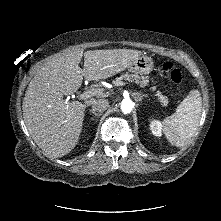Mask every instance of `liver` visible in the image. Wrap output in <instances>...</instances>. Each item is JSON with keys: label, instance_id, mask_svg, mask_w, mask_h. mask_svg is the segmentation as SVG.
Returning a JSON list of instances; mask_svg holds the SVG:
<instances>
[{"label": "liver", "instance_id": "6515ba94", "mask_svg": "<svg viewBox=\"0 0 221 221\" xmlns=\"http://www.w3.org/2000/svg\"><path fill=\"white\" fill-rule=\"evenodd\" d=\"M142 55L131 49L82 50L53 59L31 80L23 100V117L29 134L48 155L58 158L76 146L84 120L86 105L65 101L64 95L75 93L83 77L98 82L124 71ZM84 56V69L79 63ZM93 96H108L102 88ZM94 100L92 99L90 103Z\"/></svg>", "mask_w": 221, "mask_h": 221}]
</instances>
